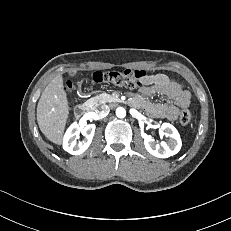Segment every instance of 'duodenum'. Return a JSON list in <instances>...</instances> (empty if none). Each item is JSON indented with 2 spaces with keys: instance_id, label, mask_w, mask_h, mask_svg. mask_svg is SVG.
<instances>
[{
  "instance_id": "1",
  "label": "duodenum",
  "mask_w": 231,
  "mask_h": 231,
  "mask_svg": "<svg viewBox=\"0 0 231 231\" xmlns=\"http://www.w3.org/2000/svg\"><path fill=\"white\" fill-rule=\"evenodd\" d=\"M91 106L89 104H81L75 107L74 114L76 117H82L91 111Z\"/></svg>"
}]
</instances>
